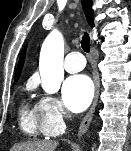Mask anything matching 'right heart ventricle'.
I'll use <instances>...</instances> for the list:
<instances>
[{"mask_svg": "<svg viewBox=\"0 0 131 151\" xmlns=\"http://www.w3.org/2000/svg\"><path fill=\"white\" fill-rule=\"evenodd\" d=\"M20 128L29 136L47 135L42 127L38 104L23 102L19 112Z\"/></svg>", "mask_w": 131, "mask_h": 151, "instance_id": "e07e8e85", "label": "right heart ventricle"}]
</instances>
